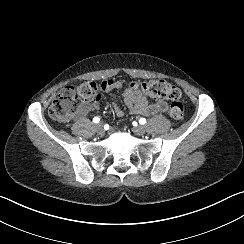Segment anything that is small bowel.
Returning <instances> with one entry per match:
<instances>
[{
  "mask_svg": "<svg viewBox=\"0 0 244 244\" xmlns=\"http://www.w3.org/2000/svg\"><path fill=\"white\" fill-rule=\"evenodd\" d=\"M123 82L120 80H108L102 83V89L106 94L113 91H121V97L124 104L133 114L150 116L158 113H165L168 110V104L164 101L151 102L146 96L134 93L130 89L123 90ZM100 101L83 103L76 111V117L82 118L100 108ZM112 109L118 117L124 115L123 110L116 103H112Z\"/></svg>",
  "mask_w": 244,
  "mask_h": 244,
  "instance_id": "obj_1",
  "label": "small bowel"
}]
</instances>
